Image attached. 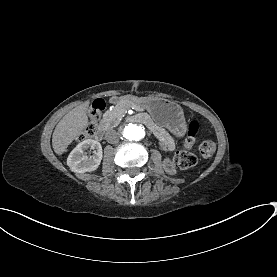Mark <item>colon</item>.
I'll return each instance as SVG.
<instances>
[{
  "instance_id": "colon-1",
  "label": "colon",
  "mask_w": 277,
  "mask_h": 277,
  "mask_svg": "<svg viewBox=\"0 0 277 277\" xmlns=\"http://www.w3.org/2000/svg\"><path fill=\"white\" fill-rule=\"evenodd\" d=\"M106 103L102 99H98L92 103L88 111L89 119L86 121V133L85 136L88 139H92L95 133L98 131V120L104 113ZM201 126L196 120H193L189 124L188 138L186 140V147L178 151L174 158L175 165L180 169H188L193 167L197 162L196 153L194 151V144L200 134ZM199 152L205 158H210L215 152V143L212 140H203L199 144Z\"/></svg>"
}]
</instances>
